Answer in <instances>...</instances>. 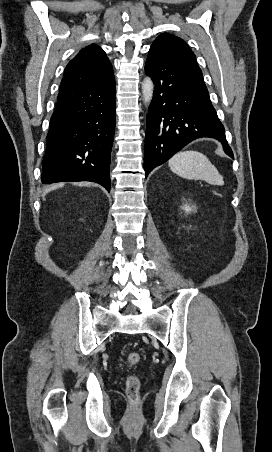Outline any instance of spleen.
I'll return each mask as SVG.
<instances>
[{"label": "spleen", "instance_id": "obj_1", "mask_svg": "<svg viewBox=\"0 0 272 452\" xmlns=\"http://www.w3.org/2000/svg\"><path fill=\"white\" fill-rule=\"evenodd\" d=\"M172 172L186 179L204 180L212 185H224L223 177L216 167L202 153L181 151L168 162Z\"/></svg>", "mask_w": 272, "mask_h": 452}]
</instances>
